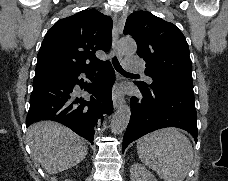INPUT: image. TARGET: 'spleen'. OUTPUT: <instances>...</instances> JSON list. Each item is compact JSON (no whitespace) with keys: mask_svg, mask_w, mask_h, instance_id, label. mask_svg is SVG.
Returning a JSON list of instances; mask_svg holds the SVG:
<instances>
[{"mask_svg":"<svg viewBox=\"0 0 228 181\" xmlns=\"http://www.w3.org/2000/svg\"><path fill=\"white\" fill-rule=\"evenodd\" d=\"M137 153L163 181H184L193 161L192 145L177 129H160L138 139Z\"/></svg>","mask_w":228,"mask_h":181,"instance_id":"spleen-1","label":"spleen"}]
</instances>
